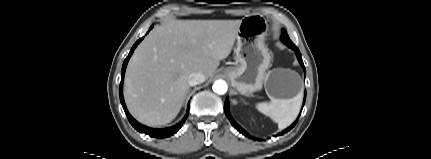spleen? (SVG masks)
Returning <instances> with one entry per match:
<instances>
[{
  "label": "spleen",
  "mask_w": 431,
  "mask_h": 159,
  "mask_svg": "<svg viewBox=\"0 0 431 159\" xmlns=\"http://www.w3.org/2000/svg\"><path fill=\"white\" fill-rule=\"evenodd\" d=\"M302 98L303 92L301 91L292 99L271 98L270 102L258 103L256 108L276 122L279 129H285L294 122L299 114Z\"/></svg>",
  "instance_id": "1"
}]
</instances>
